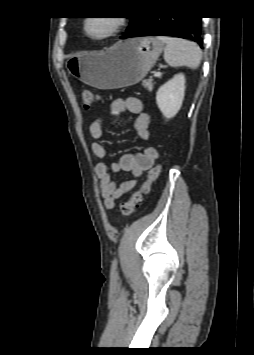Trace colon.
<instances>
[{"instance_id":"colon-1","label":"colon","mask_w":254,"mask_h":355,"mask_svg":"<svg viewBox=\"0 0 254 355\" xmlns=\"http://www.w3.org/2000/svg\"><path fill=\"white\" fill-rule=\"evenodd\" d=\"M97 99L98 96L91 90H84L81 94V102L85 109L93 107ZM160 171L161 165L159 164L151 168L140 189L135 191L128 200L121 203L120 212L123 216H129L136 210L142 202L143 196L150 191L151 185L158 178Z\"/></svg>"}]
</instances>
